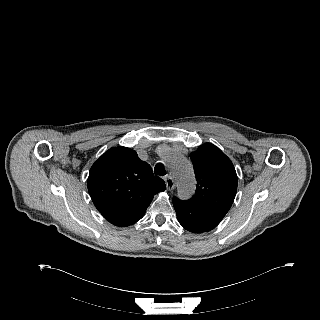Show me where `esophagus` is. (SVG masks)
I'll use <instances>...</instances> for the list:
<instances>
[{
  "label": "esophagus",
  "mask_w": 320,
  "mask_h": 320,
  "mask_svg": "<svg viewBox=\"0 0 320 320\" xmlns=\"http://www.w3.org/2000/svg\"><path fill=\"white\" fill-rule=\"evenodd\" d=\"M165 184L168 190H173L175 188V182L171 176L165 178Z\"/></svg>",
  "instance_id": "esophagus-1"
}]
</instances>
